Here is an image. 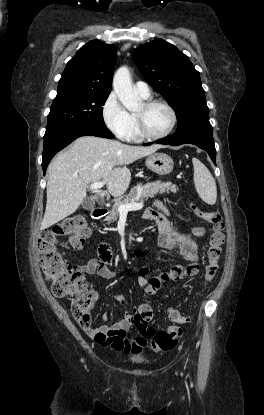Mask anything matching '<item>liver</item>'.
I'll return each mask as SVG.
<instances>
[{
    "label": "liver",
    "mask_w": 264,
    "mask_h": 415,
    "mask_svg": "<svg viewBox=\"0 0 264 415\" xmlns=\"http://www.w3.org/2000/svg\"><path fill=\"white\" fill-rule=\"evenodd\" d=\"M160 148L161 145L131 146L94 136L76 139L48 167L47 203L41 229L73 214L86 198L88 184L102 180L112 196H122L131 181L126 165Z\"/></svg>",
    "instance_id": "obj_1"
}]
</instances>
